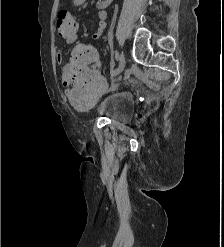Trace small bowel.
Here are the masks:
<instances>
[{"label":"small bowel","instance_id":"small-bowel-1","mask_svg":"<svg viewBox=\"0 0 224 247\" xmlns=\"http://www.w3.org/2000/svg\"><path fill=\"white\" fill-rule=\"evenodd\" d=\"M85 0H74V2L76 4H81L83 3ZM106 12L103 11V10H100L98 13H97V20H98V23H97V28H96V31L94 32V34L92 35V38L93 39H98L105 31L106 29ZM76 40V36L72 37V38H69V39H66V43L67 44H70V43H73L75 42ZM56 61L57 63L61 64L62 61H63V56H62V52L61 50H59L56 54ZM62 82L64 84H67L68 83V79H67V76L66 74H63L62 76ZM66 94H68V91H66Z\"/></svg>","mask_w":224,"mask_h":247}]
</instances>
